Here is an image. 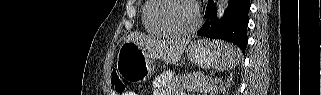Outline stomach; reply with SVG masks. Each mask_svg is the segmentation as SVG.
I'll use <instances>...</instances> for the list:
<instances>
[{
  "label": "stomach",
  "instance_id": "obj_1",
  "mask_svg": "<svg viewBox=\"0 0 321 95\" xmlns=\"http://www.w3.org/2000/svg\"><path fill=\"white\" fill-rule=\"evenodd\" d=\"M224 50L221 42L198 41L187 48L190 61L200 67L215 65ZM116 69L119 75L129 81L142 82L154 73V57L134 42H124L117 55Z\"/></svg>",
  "mask_w": 321,
  "mask_h": 95
}]
</instances>
